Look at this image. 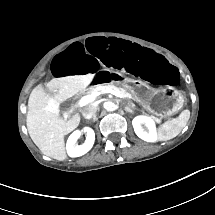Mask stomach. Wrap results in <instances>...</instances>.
Instances as JSON below:
<instances>
[{
    "mask_svg": "<svg viewBox=\"0 0 215 215\" xmlns=\"http://www.w3.org/2000/svg\"><path fill=\"white\" fill-rule=\"evenodd\" d=\"M124 89L131 94L134 100L158 115L174 114L183 106V96L176 90H172L168 94L167 89L150 88L144 83L136 81L126 82Z\"/></svg>",
    "mask_w": 215,
    "mask_h": 215,
    "instance_id": "obj_1",
    "label": "stomach"
}]
</instances>
